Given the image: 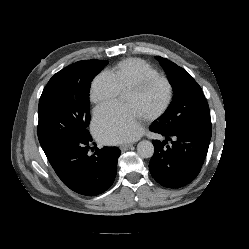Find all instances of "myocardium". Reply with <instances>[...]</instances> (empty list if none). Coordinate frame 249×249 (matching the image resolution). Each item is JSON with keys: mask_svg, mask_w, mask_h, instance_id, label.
<instances>
[{"mask_svg": "<svg viewBox=\"0 0 249 249\" xmlns=\"http://www.w3.org/2000/svg\"><path fill=\"white\" fill-rule=\"evenodd\" d=\"M157 81L165 83L167 87V98L165 103L159 110L145 118L146 121H154L163 116L168 111L174 98V88L172 82L166 76L163 75L149 76L133 84L126 90V92L139 93L144 91L148 86Z\"/></svg>", "mask_w": 249, "mask_h": 249, "instance_id": "f54148a6", "label": "myocardium"}]
</instances>
